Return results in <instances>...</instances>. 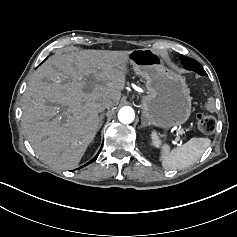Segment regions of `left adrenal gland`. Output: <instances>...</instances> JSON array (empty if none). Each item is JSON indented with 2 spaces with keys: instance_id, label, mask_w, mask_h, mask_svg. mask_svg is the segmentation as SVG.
I'll list each match as a JSON object with an SVG mask.
<instances>
[{
  "instance_id": "left-adrenal-gland-1",
  "label": "left adrenal gland",
  "mask_w": 237,
  "mask_h": 237,
  "mask_svg": "<svg viewBox=\"0 0 237 237\" xmlns=\"http://www.w3.org/2000/svg\"><path fill=\"white\" fill-rule=\"evenodd\" d=\"M146 125H145V121H144V119H141V128H143V127H145Z\"/></svg>"
}]
</instances>
